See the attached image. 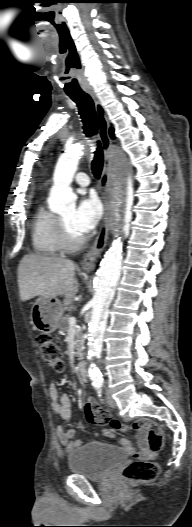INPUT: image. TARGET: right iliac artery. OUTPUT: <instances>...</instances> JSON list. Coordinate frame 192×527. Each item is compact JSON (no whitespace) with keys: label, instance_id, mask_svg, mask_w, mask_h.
Here are the masks:
<instances>
[{"label":"right iliac artery","instance_id":"1","mask_svg":"<svg viewBox=\"0 0 192 527\" xmlns=\"http://www.w3.org/2000/svg\"><path fill=\"white\" fill-rule=\"evenodd\" d=\"M96 390L98 391L99 396H101V385H95Z\"/></svg>","mask_w":192,"mask_h":527}]
</instances>
